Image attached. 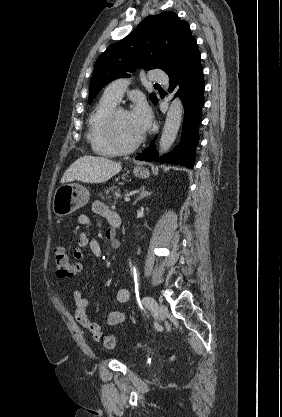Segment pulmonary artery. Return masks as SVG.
<instances>
[{"instance_id":"pulmonary-artery-1","label":"pulmonary artery","mask_w":282,"mask_h":417,"mask_svg":"<svg viewBox=\"0 0 282 417\" xmlns=\"http://www.w3.org/2000/svg\"><path fill=\"white\" fill-rule=\"evenodd\" d=\"M150 80L153 81V83H168L169 76L168 74H153V76L150 77ZM128 84L129 81L127 79L113 81L106 87L103 96L118 103Z\"/></svg>"}]
</instances>
